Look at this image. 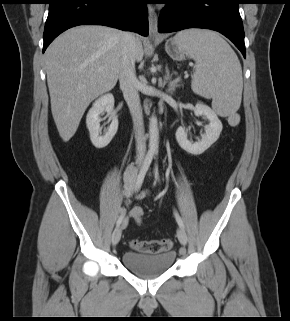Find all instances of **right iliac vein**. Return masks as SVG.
<instances>
[{
	"label": "right iliac vein",
	"instance_id": "1",
	"mask_svg": "<svg viewBox=\"0 0 290 321\" xmlns=\"http://www.w3.org/2000/svg\"><path fill=\"white\" fill-rule=\"evenodd\" d=\"M138 165H141V161L138 162ZM127 224V220H124L121 224V226H118L113 234H112V245L116 246L118 244V242L120 241L121 238V234H122V229L126 226Z\"/></svg>",
	"mask_w": 290,
	"mask_h": 321
}]
</instances>
